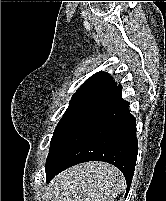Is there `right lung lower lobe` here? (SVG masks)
Segmentation results:
<instances>
[{
    "mask_svg": "<svg viewBox=\"0 0 166 201\" xmlns=\"http://www.w3.org/2000/svg\"><path fill=\"white\" fill-rule=\"evenodd\" d=\"M116 87L92 115L72 134L46 164L49 182L56 174L78 163L104 161L116 166L125 176L128 194L134 174L138 143L136 120L129 102Z\"/></svg>",
    "mask_w": 166,
    "mask_h": 201,
    "instance_id": "right-lung-lower-lobe-1",
    "label": "right lung lower lobe"
}]
</instances>
